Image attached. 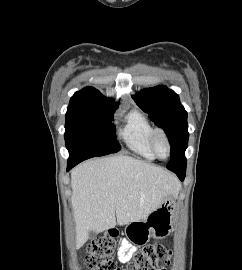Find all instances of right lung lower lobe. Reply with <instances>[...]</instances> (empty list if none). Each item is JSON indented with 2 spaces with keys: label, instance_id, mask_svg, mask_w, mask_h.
I'll list each match as a JSON object with an SVG mask.
<instances>
[{
  "label": "right lung lower lobe",
  "instance_id": "1",
  "mask_svg": "<svg viewBox=\"0 0 242 270\" xmlns=\"http://www.w3.org/2000/svg\"><path fill=\"white\" fill-rule=\"evenodd\" d=\"M78 163H80V162H71V163H68L67 171H69L71 168H73Z\"/></svg>",
  "mask_w": 242,
  "mask_h": 270
}]
</instances>
